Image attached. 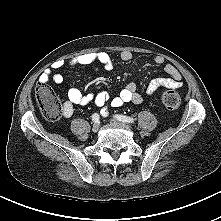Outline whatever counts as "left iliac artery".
I'll return each mask as SVG.
<instances>
[{
    "mask_svg": "<svg viewBox=\"0 0 221 221\" xmlns=\"http://www.w3.org/2000/svg\"><path fill=\"white\" fill-rule=\"evenodd\" d=\"M115 118L122 122L133 123L134 119L125 115H115Z\"/></svg>",
    "mask_w": 221,
    "mask_h": 221,
    "instance_id": "1",
    "label": "left iliac artery"
}]
</instances>
